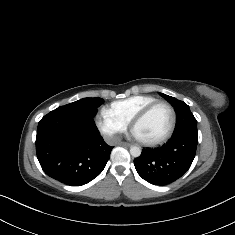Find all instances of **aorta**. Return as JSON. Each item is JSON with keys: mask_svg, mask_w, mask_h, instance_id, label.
Returning <instances> with one entry per match:
<instances>
[{"mask_svg": "<svg viewBox=\"0 0 235 235\" xmlns=\"http://www.w3.org/2000/svg\"><path fill=\"white\" fill-rule=\"evenodd\" d=\"M130 154L135 158L139 157L141 155V149L137 146H133L130 148Z\"/></svg>", "mask_w": 235, "mask_h": 235, "instance_id": "762f6f07", "label": "aorta"}]
</instances>
